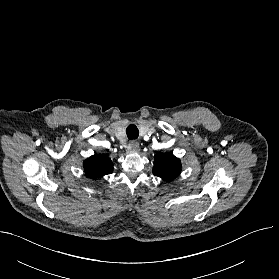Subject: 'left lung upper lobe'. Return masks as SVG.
Listing matches in <instances>:
<instances>
[{
	"instance_id": "1",
	"label": "left lung upper lobe",
	"mask_w": 279,
	"mask_h": 279,
	"mask_svg": "<svg viewBox=\"0 0 279 279\" xmlns=\"http://www.w3.org/2000/svg\"><path fill=\"white\" fill-rule=\"evenodd\" d=\"M181 171V163L172 152L158 153L155 156L153 174L164 181H172Z\"/></svg>"
}]
</instances>
